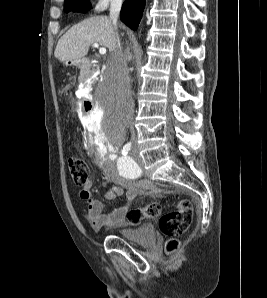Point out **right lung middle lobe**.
I'll list each match as a JSON object with an SVG mask.
<instances>
[{
  "label": "right lung middle lobe",
  "instance_id": "dd1d6c3e",
  "mask_svg": "<svg viewBox=\"0 0 267 298\" xmlns=\"http://www.w3.org/2000/svg\"><path fill=\"white\" fill-rule=\"evenodd\" d=\"M65 11H78L85 13L91 8L89 0H65Z\"/></svg>",
  "mask_w": 267,
  "mask_h": 298
}]
</instances>
